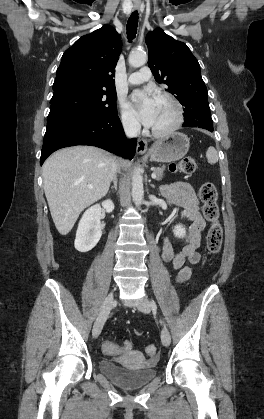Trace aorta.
I'll use <instances>...</instances> for the list:
<instances>
[{
    "label": "aorta",
    "instance_id": "obj_1",
    "mask_svg": "<svg viewBox=\"0 0 264 419\" xmlns=\"http://www.w3.org/2000/svg\"><path fill=\"white\" fill-rule=\"evenodd\" d=\"M129 64L132 67H141L147 62V55L144 51H136L132 52L129 55ZM143 178L140 173L139 168H135L133 175H132V197L136 204V206H139L143 202Z\"/></svg>",
    "mask_w": 264,
    "mask_h": 419
}]
</instances>
